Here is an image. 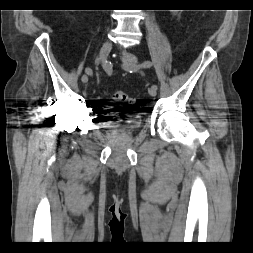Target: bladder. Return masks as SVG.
<instances>
[{
  "instance_id": "31cf9c89",
  "label": "bladder",
  "mask_w": 253,
  "mask_h": 253,
  "mask_svg": "<svg viewBox=\"0 0 253 253\" xmlns=\"http://www.w3.org/2000/svg\"><path fill=\"white\" fill-rule=\"evenodd\" d=\"M142 120L139 117L125 114L121 119L116 121H107L101 124V128L130 133L141 126Z\"/></svg>"
}]
</instances>
